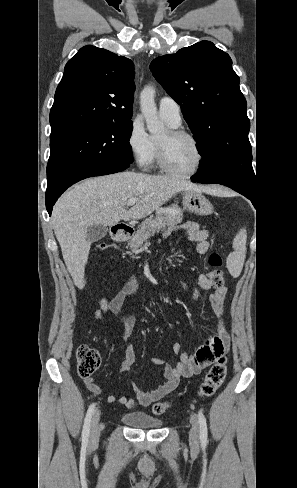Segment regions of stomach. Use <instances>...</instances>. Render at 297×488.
I'll return each mask as SVG.
<instances>
[{"instance_id": "obj_1", "label": "stomach", "mask_w": 297, "mask_h": 488, "mask_svg": "<svg viewBox=\"0 0 297 488\" xmlns=\"http://www.w3.org/2000/svg\"><path fill=\"white\" fill-rule=\"evenodd\" d=\"M183 206L189 212L200 216L213 213V206L201 192L183 191Z\"/></svg>"}]
</instances>
